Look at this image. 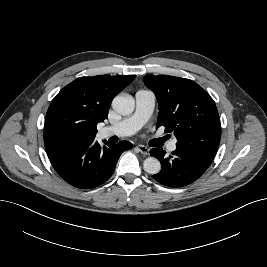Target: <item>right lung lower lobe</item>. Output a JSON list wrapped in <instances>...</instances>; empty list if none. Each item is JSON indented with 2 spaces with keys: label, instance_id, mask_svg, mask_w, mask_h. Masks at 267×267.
<instances>
[{
  "label": "right lung lower lobe",
  "instance_id": "obj_1",
  "mask_svg": "<svg viewBox=\"0 0 267 267\" xmlns=\"http://www.w3.org/2000/svg\"><path fill=\"white\" fill-rule=\"evenodd\" d=\"M98 142L46 143L45 149L55 171L70 185L95 188L113 174L120 155L132 148L128 141L112 144Z\"/></svg>",
  "mask_w": 267,
  "mask_h": 267
}]
</instances>
